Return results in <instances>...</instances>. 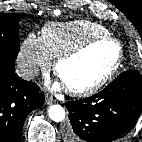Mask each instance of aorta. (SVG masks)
<instances>
[{
    "instance_id": "1",
    "label": "aorta",
    "mask_w": 142,
    "mask_h": 142,
    "mask_svg": "<svg viewBox=\"0 0 142 142\" xmlns=\"http://www.w3.org/2000/svg\"><path fill=\"white\" fill-rule=\"evenodd\" d=\"M49 117L55 122H61L65 118V110L61 105H52L49 108Z\"/></svg>"
}]
</instances>
